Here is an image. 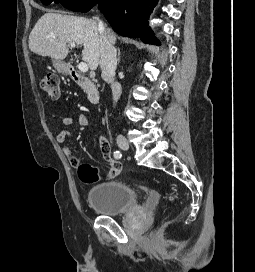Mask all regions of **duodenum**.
<instances>
[{
	"instance_id": "obj_1",
	"label": "duodenum",
	"mask_w": 255,
	"mask_h": 272,
	"mask_svg": "<svg viewBox=\"0 0 255 272\" xmlns=\"http://www.w3.org/2000/svg\"><path fill=\"white\" fill-rule=\"evenodd\" d=\"M68 72L72 80L85 90L88 101L93 105H98L101 102V95L94 83L89 78L78 73L74 68L69 67Z\"/></svg>"
}]
</instances>
